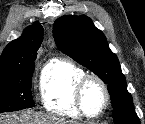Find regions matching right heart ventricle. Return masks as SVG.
<instances>
[{
	"mask_svg": "<svg viewBox=\"0 0 145 124\" xmlns=\"http://www.w3.org/2000/svg\"><path fill=\"white\" fill-rule=\"evenodd\" d=\"M85 75L84 69L71 61L50 60L43 68L39 85L44 109L62 117H81L75 103V87Z\"/></svg>",
	"mask_w": 145,
	"mask_h": 124,
	"instance_id": "1",
	"label": "right heart ventricle"
}]
</instances>
